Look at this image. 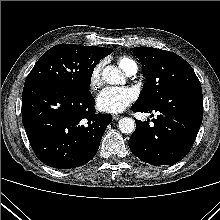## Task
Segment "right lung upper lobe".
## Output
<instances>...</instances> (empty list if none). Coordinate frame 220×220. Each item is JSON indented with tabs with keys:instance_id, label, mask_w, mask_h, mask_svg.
Wrapping results in <instances>:
<instances>
[{
	"instance_id": "obj_1",
	"label": "right lung upper lobe",
	"mask_w": 220,
	"mask_h": 220,
	"mask_svg": "<svg viewBox=\"0 0 220 220\" xmlns=\"http://www.w3.org/2000/svg\"><path fill=\"white\" fill-rule=\"evenodd\" d=\"M94 48H96L101 54H103L104 57H106L112 52L110 48H104V47H94Z\"/></svg>"
}]
</instances>
